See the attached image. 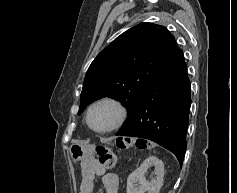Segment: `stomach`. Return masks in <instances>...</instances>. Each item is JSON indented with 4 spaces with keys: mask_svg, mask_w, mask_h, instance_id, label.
Instances as JSON below:
<instances>
[{
    "mask_svg": "<svg viewBox=\"0 0 237 193\" xmlns=\"http://www.w3.org/2000/svg\"><path fill=\"white\" fill-rule=\"evenodd\" d=\"M73 161H80L92 154V146L83 143H73L69 148Z\"/></svg>",
    "mask_w": 237,
    "mask_h": 193,
    "instance_id": "stomach-1",
    "label": "stomach"
}]
</instances>
